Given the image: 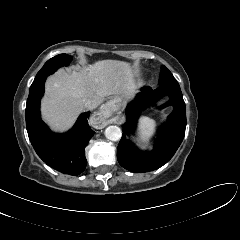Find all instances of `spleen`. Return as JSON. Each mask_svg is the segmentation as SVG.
<instances>
[{
  "instance_id": "1",
  "label": "spleen",
  "mask_w": 240,
  "mask_h": 240,
  "mask_svg": "<svg viewBox=\"0 0 240 240\" xmlns=\"http://www.w3.org/2000/svg\"><path fill=\"white\" fill-rule=\"evenodd\" d=\"M156 130V122L148 117L139 120L138 137L141 142H149Z\"/></svg>"
}]
</instances>
